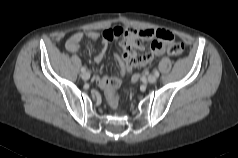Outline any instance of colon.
Returning <instances> with one entry per match:
<instances>
[{"mask_svg":"<svg viewBox=\"0 0 238 158\" xmlns=\"http://www.w3.org/2000/svg\"><path fill=\"white\" fill-rule=\"evenodd\" d=\"M100 36L106 40H112L114 38V35L112 34L110 30L101 31ZM165 48L167 49V52L172 56L178 57L183 55L184 53L183 44L177 41L170 40L167 44H165ZM119 86H120V83H118L115 80H112L110 87L108 91L106 92L107 99L112 106H116L118 103Z\"/></svg>","mask_w":238,"mask_h":158,"instance_id":"1","label":"colon"}]
</instances>
